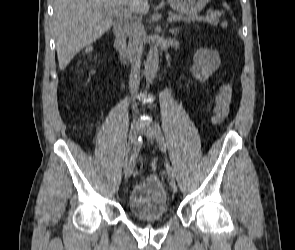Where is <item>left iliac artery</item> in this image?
<instances>
[{
	"instance_id": "1",
	"label": "left iliac artery",
	"mask_w": 295,
	"mask_h": 250,
	"mask_svg": "<svg viewBox=\"0 0 295 250\" xmlns=\"http://www.w3.org/2000/svg\"><path fill=\"white\" fill-rule=\"evenodd\" d=\"M155 137H156V141L158 143L160 150L163 153H165L166 152V142H165L163 133H162L161 128L158 123H155ZM165 166H166V170H167V174H168L169 178L171 180H174L173 168L171 167V165L169 163H166Z\"/></svg>"
}]
</instances>
